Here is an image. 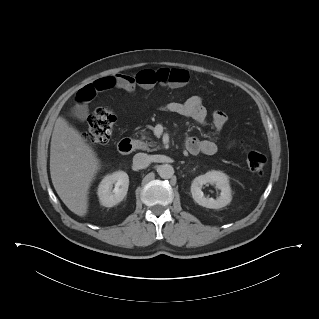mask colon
<instances>
[{"label": "colon", "mask_w": 319, "mask_h": 319, "mask_svg": "<svg viewBox=\"0 0 319 319\" xmlns=\"http://www.w3.org/2000/svg\"><path fill=\"white\" fill-rule=\"evenodd\" d=\"M116 117L111 109L99 108L88 120V128L84 135L86 142L90 145H104L109 142ZM266 156L254 149L246 153V162L249 170L260 173L266 165Z\"/></svg>", "instance_id": "5ec220e1"}]
</instances>
